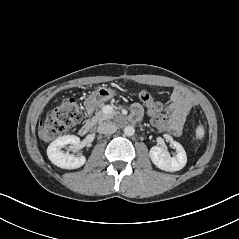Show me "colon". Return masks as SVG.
I'll list each match as a JSON object with an SVG mask.
<instances>
[{
    "mask_svg": "<svg viewBox=\"0 0 239 239\" xmlns=\"http://www.w3.org/2000/svg\"><path fill=\"white\" fill-rule=\"evenodd\" d=\"M138 97L150 112L148 118L151 126L159 133H167L171 118L162 105L145 90H140ZM82 117V109L77 100L67 98L47 112L40 125V136L44 140H51L77 125Z\"/></svg>",
    "mask_w": 239,
    "mask_h": 239,
    "instance_id": "5ec220e1",
    "label": "colon"
}]
</instances>
